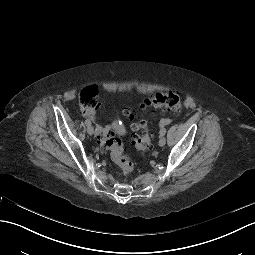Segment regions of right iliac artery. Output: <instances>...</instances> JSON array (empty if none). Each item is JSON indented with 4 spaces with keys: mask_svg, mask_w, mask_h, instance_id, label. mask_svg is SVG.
Here are the masks:
<instances>
[{
    "mask_svg": "<svg viewBox=\"0 0 255 255\" xmlns=\"http://www.w3.org/2000/svg\"><path fill=\"white\" fill-rule=\"evenodd\" d=\"M85 124H86L87 126H89V125H91V122H90L89 120H85Z\"/></svg>",
    "mask_w": 255,
    "mask_h": 255,
    "instance_id": "1",
    "label": "right iliac artery"
}]
</instances>
